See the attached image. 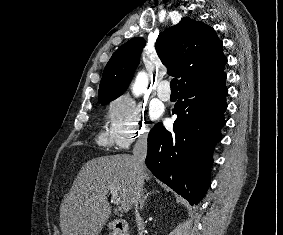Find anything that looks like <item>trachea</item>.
<instances>
[{"mask_svg": "<svg viewBox=\"0 0 283 235\" xmlns=\"http://www.w3.org/2000/svg\"><path fill=\"white\" fill-rule=\"evenodd\" d=\"M177 82H178V80L176 78L171 80V82H170L171 90H177L178 89Z\"/></svg>", "mask_w": 283, "mask_h": 235, "instance_id": "3493384b", "label": "trachea"}]
</instances>
